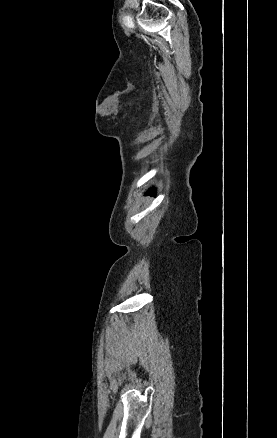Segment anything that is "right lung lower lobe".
Masks as SVG:
<instances>
[{
    "instance_id": "1",
    "label": "right lung lower lobe",
    "mask_w": 277,
    "mask_h": 438,
    "mask_svg": "<svg viewBox=\"0 0 277 438\" xmlns=\"http://www.w3.org/2000/svg\"><path fill=\"white\" fill-rule=\"evenodd\" d=\"M150 195H154L153 192H151Z\"/></svg>"
}]
</instances>
